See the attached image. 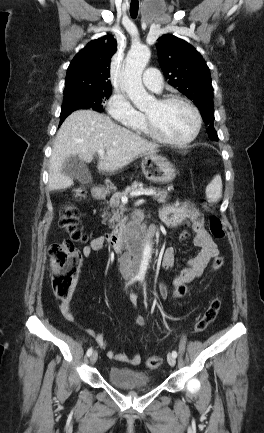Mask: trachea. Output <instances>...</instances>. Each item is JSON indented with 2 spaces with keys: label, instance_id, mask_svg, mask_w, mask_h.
I'll return each instance as SVG.
<instances>
[{
  "label": "trachea",
  "instance_id": "1",
  "mask_svg": "<svg viewBox=\"0 0 264 433\" xmlns=\"http://www.w3.org/2000/svg\"><path fill=\"white\" fill-rule=\"evenodd\" d=\"M139 2L138 0H132L130 4V15L132 18H136L138 15Z\"/></svg>",
  "mask_w": 264,
  "mask_h": 433
}]
</instances>
